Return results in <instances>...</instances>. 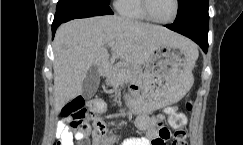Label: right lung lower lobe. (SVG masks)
Here are the masks:
<instances>
[{"mask_svg": "<svg viewBox=\"0 0 243 145\" xmlns=\"http://www.w3.org/2000/svg\"><path fill=\"white\" fill-rule=\"evenodd\" d=\"M112 14L109 4L98 0H59L52 24V36L54 37L56 29L61 23L69 20Z\"/></svg>", "mask_w": 243, "mask_h": 145, "instance_id": "98d812e1", "label": "right lung lower lobe"}]
</instances>
